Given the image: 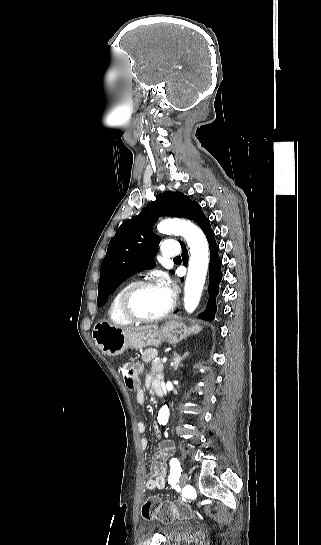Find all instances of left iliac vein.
Returning a JSON list of instances; mask_svg holds the SVG:
<instances>
[{"mask_svg":"<svg viewBox=\"0 0 321 545\" xmlns=\"http://www.w3.org/2000/svg\"><path fill=\"white\" fill-rule=\"evenodd\" d=\"M188 482V475L187 473H183L179 480L180 487H184Z\"/></svg>","mask_w":321,"mask_h":545,"instance_id":"1","label":"left iliac vein"}]
</instances>
